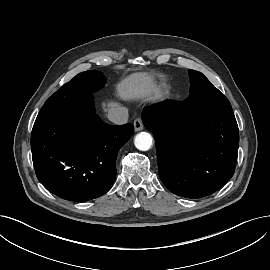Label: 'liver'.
Returning a JSON list of instances; mask_svg holds the SVG:
<instances>
[{
  "instance_id": "liver-1",
  "label": "liver",
  "mask_w": 270,
  "mask_h": 270,
  "mask_svg": "<svg viewBox=\"0 0 270 270\" xmlns=\"http://www.w3.org/2000/svg\"><path fill=\"white\" fill-rule=\"evenodd\" d=\"M117 92L123 100L153 101L160 98L154 75L149 72H137L129 75L118 84ZM108 106L113 108L116 104L110 103Z\"/></svg>"
}]
</instances>
